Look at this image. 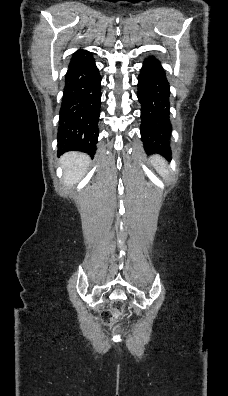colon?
Wrapping results in <instances>:
<instances>
[{"instance_id":"1","label":"colon","mask_w":228,"mask_h":396,"mask_svg":"<svg viewBox=\"0 0 228 396\" xmlns=\"http://www.w3.org/2000/svg\"><path fill=\"white\" fill-rule=\"evenodd\" d=\"M123 310V303L121 301H115L111 304V310L106 311L102 314V321L105 324H110L115 314L121 313Z\"/></svg>"}]
</instances>
